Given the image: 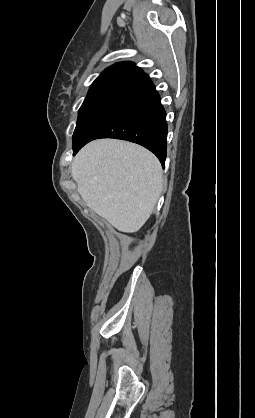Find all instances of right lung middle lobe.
<instances>
[{
  "label": "right lung middle lobe",
  "instance_id": "dd1d6c3e",
  "mask_svg": "<svg viewBox=\"0 0 255 418\" xmlns=\"http://www.w3.org/2000/svg\"><path fill=\"white\" fill-rule=\"evenodd\" d=\"M124 87L109 84H93L78 113L77 125L73 134V143L81 136L95 114Z\"/></svg>",
  "mask_w": 255,
  "mask_h": 418
}]
</instances>
